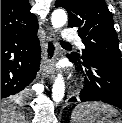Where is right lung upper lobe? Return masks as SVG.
I'll return each instance as SVG.
<instances>
[{
  "label": "right lung upper lobe",
  "mask_w": 122,
  "mask_h": 123,
  "mask_svg": "<svg viewBox=\"0 0 122 123\" xmlns=\"http://www.w3.org/2000/svg\"><path fill=\"white\" fill-rule=\"evenodd\" d=\"M28 0H1V35H28L38 30Z\"/></svg>",
  "instance_id": "cb5924a9"
}]
</instances>
